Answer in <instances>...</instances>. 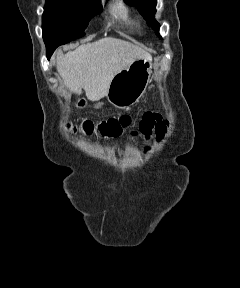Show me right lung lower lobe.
<instances>
[{
  "label": "right lung lower lobe",
  "instance_id": "98d812e1",
  "mask_svg": "<svg viewBox=\"0 0 240 288\" xmlns=\"http://www.w3.org/2000/svg\"><path fill=\"white\" fill-rule=\"evenodd\" d=\"M46 50H47L46 55H47V58L49 59L55 49H46Z\"/></svg>",
  "mask_w": 240,
  "mask_h": 288
}]
</instances>
